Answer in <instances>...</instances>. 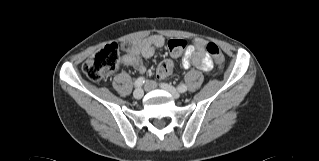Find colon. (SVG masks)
Wrapping results in <instances>:
<instances>
[{
	"label": "colon",
	"instance_id": "1",
	"mask_svg": "<svg viewBox=\"0 0 319 161\" xmlns=\"http://www.w3.org/2000/svg\"><path fill=\"white\" fill-rule=\"evenodd\" d=\"M168 50L175 55L186 47V42L169 40L167 43ZM207 52L213 57L220 69L224 68V57L219 46L214 42L206 45ZM120 62L119 46L109 44L102 50L90 57L83 65L84 73L93 81H99L107 78L114 70L117 69ZM171 71V65L164 62L160 65L158 74Z\"/></svg>",
	"mask_w": 319,
	"mask_h": 161
}]
</instances>
